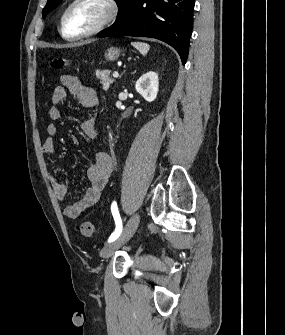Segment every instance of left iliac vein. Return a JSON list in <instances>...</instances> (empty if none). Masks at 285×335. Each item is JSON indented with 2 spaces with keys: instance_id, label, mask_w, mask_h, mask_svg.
Instances as JSON below:
<instances>
[{
  "instance_id": "4c4485c4",
  "label": "left iliac vein",
  "mask_w": 285,
  "mask_h": 335,
  "mask_svg": "<svg viewBox=\"0 0 285 335\" xmlns=\"http://www.w3.org/2000/svg\"><path fill=\"white\" fill-rule=\"evenodd\" d=\"M139 224V215H133L125 224L119 237L106 244L101 250V256L104 259L111 257L117 249L130 240Z\"/></svg>"
}]
</instances>
